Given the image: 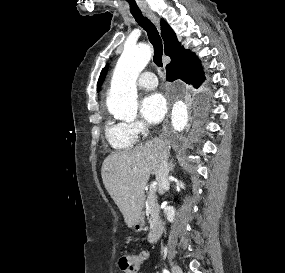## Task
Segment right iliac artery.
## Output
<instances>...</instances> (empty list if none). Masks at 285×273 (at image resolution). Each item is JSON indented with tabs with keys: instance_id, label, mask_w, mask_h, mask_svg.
<instances>
[{
	"instance_id": "82829eb1",
	"label": "right iliac artery",
	"mask_w": 285,
	"mask_h": 273,
	"mask_svg": "<svg viewBox=\"0 0 285 273\" xmlns=\"http://www.w3.org/2000/svg\"><path fill=\"white\" fill-rule=\"evenodd\" d=\"M163 273H170L168 270L164 269Z\"/></svg>"
}]
</instances>
